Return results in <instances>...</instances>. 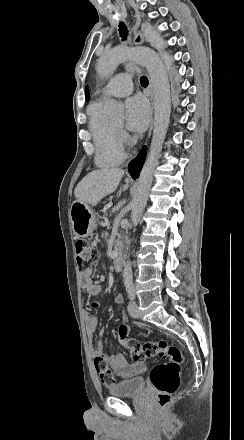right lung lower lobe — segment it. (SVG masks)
Wrapping results in <instances>:
<instances>
[{
  "label": "right lung lower lobe",
  "mask_w": 244,
  "mask_h": 440,
  "mask_svg": "<svg viewBox=\"0 0 244 440\" xmlns=\"http://www.w3.org/2000/svg\"><path fill=\"white\" fill-rule=\"evenodd\" d=\"M147 153V147L144 146L139 154L130 162L128 166L129 173L133 179L139 177L141 168L144 164Z\"/></svg>",
  "instance_id": "right-lung-lower-lobe-1"
}]
</instances>
